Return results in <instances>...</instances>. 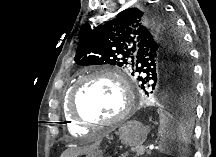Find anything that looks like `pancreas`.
Returning <instances> with one entry per match:
<instances>
[{
    "mask_svg": "<svg viewBox=\"0 0 216 157\" xmlns=\"http://www.w3.org/2000/svg\"><path fill=\"white\" fill-rule=\"evenodd\" d=\"M145 149L143 147H139L134 149L135 152V157H140L141 155L144 154ZM150 152H147V154H149Z\"/></svg>",
    "mask_w": 216,
    "mask_h": 157,
    "instance_id": "obj_1",
    "label": "pancreas"
}]
</instances>
